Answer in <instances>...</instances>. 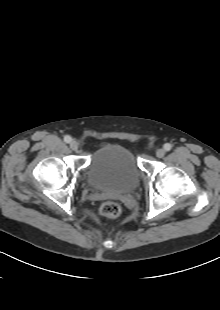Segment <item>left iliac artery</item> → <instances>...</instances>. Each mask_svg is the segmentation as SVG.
<instances>
[{"label": "left iliac artery", "mask_w": 220, "mask_h": 310, "mask_svg": "<svg viewBox=\"0 0 220 310\" xmlns=\"http://www.w3.org/2000/svg\"><path fill=\"white\" fill-rule=\"evenodd\" d=\"M171 148H172V145H171L170 143L164 144V149H165L166 151H170Z\"/></svg>", "instance_id": "left-iliac-artery-1"}]
</instances>
